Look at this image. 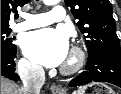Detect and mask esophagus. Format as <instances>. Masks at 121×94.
Instances as JSON below:
<instances>
[{"label": "esophagus", "instance_id": "esophagus-1", "mask_svg": "<svg viewBox=\"0 0 121 94\" xmlns=\"http://www.w3.org/2000/svg\"><path fill=\"white\" fill-rule=\"evenodd\" d=\"M50 90L52 92V94H64V90L62 88H60L59 86H57L56 84H52L50 87Z\"/></svg>", "mask_w": 121, "mask_h": 94}]
</instances>
